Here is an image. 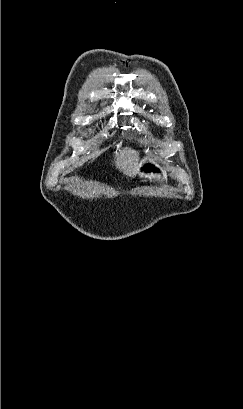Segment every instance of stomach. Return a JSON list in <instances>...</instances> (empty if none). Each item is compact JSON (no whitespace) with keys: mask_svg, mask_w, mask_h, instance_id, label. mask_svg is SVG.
Returning a JSON list of instances; mask_svg holds the SVG:
<instances>
[{"mask_svg":"<svg viewBox=\"0 0 243 409\" xmlns=\"http://www.w3.org/2000/svg\"><path fill=\"white\" fill-rule=\"evenodd\" d=\"M137 173L145 181L163 182L167 180L166 170L151 157H144L138 164Z\"/></svg>","mask_w":243,"mask_h":409,"instance_id":"0dacf381","label":"stomach"}]
</instances>
